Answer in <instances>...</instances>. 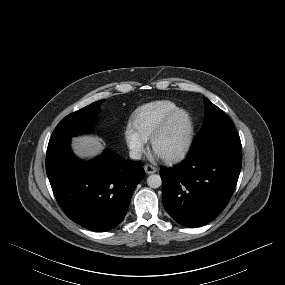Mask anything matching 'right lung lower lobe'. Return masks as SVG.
I'll use <instances>...</instances> for the list:
<instances>
[{"mask_svg":"<svg viewBox=\"0 0 285 285\" xmlns=\"http://www.w3.org/2000/svg\"><path fill=\"white\" fill-rule=\"evenodd\" d=\"M46 172L57 203L74 222L105 232L124 218L135 187L144 177L141 162L105 150L89 162L77 159L70 137L49 141Z\"/></svg>","mask_w":285,"mask_h":285,"instance_id":"98d812e1","label":"right lung lower lobe"}]
</instances>
